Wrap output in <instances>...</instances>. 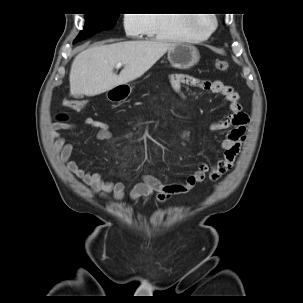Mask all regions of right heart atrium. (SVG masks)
<instances>
[{"label":"right heart atrium","instance_id":"right-heart-atrium-1","mask_svg":"<svg viewBox=\"0 0 303 303\" xmlns=\"http://www.w3.org/2000/svg\"><path fill=\"white\" fill-rule=\"evenodd\" d=\"M124 27L130 36H138L146 31V14H126L124 18Z\"/></svg>","mask_w":303,"mask_h":303}]
</instances>
